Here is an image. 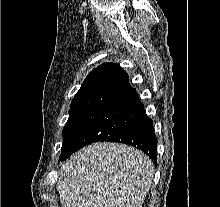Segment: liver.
I'll list each match as a JSON object with an SVG mask.
<instances>
[{"instance_id":"obj_1","label":"liver","mask_w":220,"mask_h":207,"mask_svg":"<svg viewBox=\"0 0 220 207\" xmlns=\"http://www.w3.org/2000/svg\"><path fill=\"white\" fill-rule=\"evenodd\" d=\"M154 172L152 160L131 146H86L61 166V207H142Z\"/></svg>"}]
</instances>
